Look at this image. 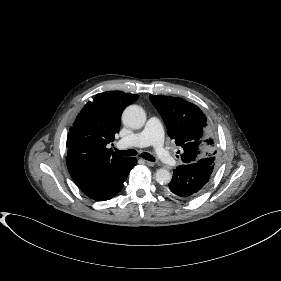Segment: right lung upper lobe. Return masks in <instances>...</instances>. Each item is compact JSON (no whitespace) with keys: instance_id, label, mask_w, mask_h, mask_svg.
<instances>
[{"instance_id":"right-lung-upper-lobe-1","label":"right lung upper lobe","mask_w":281,"mask_h":281,"mask_svg":"<svg viewBox=\"0 0 281 281\" xmlns=\"http://www.w3.org/2000/svg\"><path fill=\"white\" fill-rule=\"evenodd\" d=\"M137 99L138 95L122 91L99 93L69 129L67 167L85 194L100 187L126 161L106 145L120 129L123 110Z\"/></svg>"}]
</instances>
